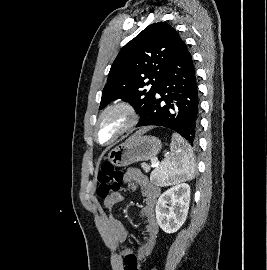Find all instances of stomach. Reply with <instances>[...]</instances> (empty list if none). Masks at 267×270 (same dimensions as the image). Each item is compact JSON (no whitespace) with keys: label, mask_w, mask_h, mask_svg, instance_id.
Wrapping results in <instances>:
<instances>
[{"label":"stomach","mask_w":267,"mask_h":270,"mask_svg":"<svg viewBox=\"0 0 267 270\" xmlns=\"http://www.w3.org/2000/svg\"><path fill=\"white\" fill-rule=\"evenodd\" d=\"M161 140L155 136L141 135L116 146L108 154L109 161L118 167L154 158L161 150Z\"/></svg>","instance_id":"1"}]
</instances>
